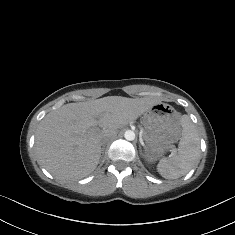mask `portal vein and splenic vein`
<instances>
[{"mask_svg":"<svg viewBox=\"0 0 235 235\" xmlns=\"http://www.w3.org/2000/svg\"><path fill=\"white\" fill-rule=\"evenodd\" d=\"M96 125L100 126V122L95 120L93 123H91V126H96Z\"/></svg>","mask_w":235,"mask_h":235,"instance_id":"portal-vein-and-splenic-vein-1","label":"portal vein and splenic vein"}]
</instances>
